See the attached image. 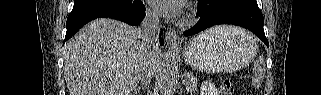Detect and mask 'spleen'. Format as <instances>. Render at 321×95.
Returning <instances> with one entry per match:
<instances>
[{"label":"spleen","instance_id":"1","mask_svg":"<svg viewBox=\"0 0 321 95\" xmlns=\"http://www.w3.org/2000/svg\"><path fill=\"white\" fill-rule=\"evenodd\" d=\"M218 27H215L210 30H216ZM230 27L222 26L221 30L229 31ZM264 73H265V61L263 56H259V58L254 63L253 67V79L252 84L255 88H259L264 80Z\"/></svg>","mask_w":321,"mask_h":95}]
</instances>
